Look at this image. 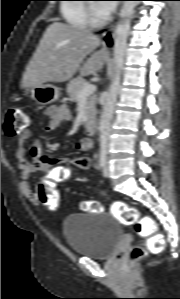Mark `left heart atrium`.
<instances>
[{"mask_svg": "<svg viewBox=\"0 0 180 299\" xmlns=\"http://www.w3.org/2000/svg\"><path fill=\"white\" fill-rule=\"evenodd\" d=\"M107 2H113V1H107ZM98 6H99L100 11L103 13V15L108 16L115 10L116 4L115 3H102V4H99Z\"/></svg>", "mask_w": 180, "mask_h": 299, "instance_id": "left-heart-atrium-1", "label": "left heart atrium"}]
</instances>
